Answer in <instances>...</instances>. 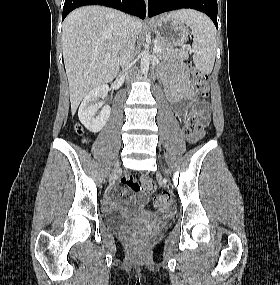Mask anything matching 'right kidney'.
<instances>
[{"mask_svg": "<svg viewBox=\"0 0 280 285\" xmlns=\"http://www.w3.org/2000/svg\"><path fill=\"white\" fill-rule=\"evenodd\" d=\"M108 91L109 88L105 84L93 88L85 96L79 107V120L89 131L93 133H97L102 130L110 116V106H104L98 113L101 104L97 103L100 98H105L107 96Z\"/></svg>", "mask_w": 280, "mask_h": 285, "instance_id": "obj_1", "label": "right kidney"}]
</instances>
